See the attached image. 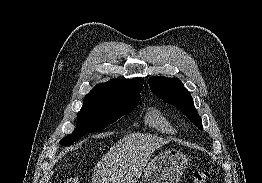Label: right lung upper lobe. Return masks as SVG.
<instances>
[{"label":"right lung upper lobe","instance_id":"cb5924a9","mask_svg":"<svg viewBox=\"0 0 262 183\" xmlns=\"http://www.w3.org/2000/svg\"><path fill=\"white\" fill-rule=\"evenodd\" d=\"M144 80L134 79H112L109 82L96 85L85 99L118 102L140 99Z\"/></svg>","mask_w":262,"mask_h":183}]
</instances>
